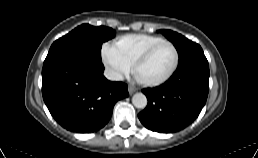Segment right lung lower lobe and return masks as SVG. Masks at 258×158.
<instances>
[{"mask_svg":"<svg viewBox=\"0 0 258 158\" xmlns=\"http://www.w3.org/2000/svg\"><path fill=\"white\" fill-rule=\"evenodd\" d=\"M101 60L80 53L46 58L42 95L52 116L71 131L89 133L111 118L114 104L127 97V85L103 76Z\"/></svg>","mask_w":258,"mask_h":158,"instance_id":"1","label":"right lung lower lobe"}]
</instances>
